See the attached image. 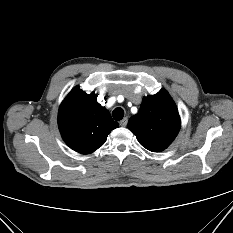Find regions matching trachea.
Masks as SVG:
<instances>
[{
	"label": "trachea",
	"instance_id": "1",
	"mask_svg": "<svg viewBox=\"0 0 233 233\" xmlns=\"http://www.w3.org/2000/svg\"><path fill=\"white\" fill-rule=\"evenodd\" d=\"M112 115L115 120L119 121L124 117V110L118 107L113 111Z\"/></svg>",
	"mask_w": 233,
	"mask_h": 233
}]
</instances>
